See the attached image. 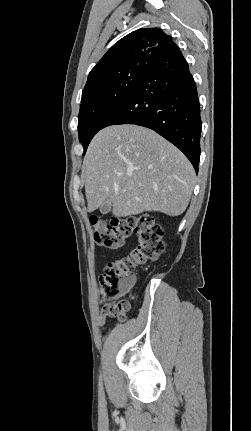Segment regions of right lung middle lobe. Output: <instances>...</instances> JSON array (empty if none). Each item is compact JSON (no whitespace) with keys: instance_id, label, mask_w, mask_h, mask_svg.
I'll return each instance as SVG.
<instances>
[{"instance_id":"1","label":"right lung middle lobe","mask_w":251,"mask_h":431,"mask_svg":"<svg viewBox=\"0 0 251 431\" xmlns=\"http://www.w3.org/2000/svg\"><path fill=\"white\" fill-rule=\"evenodd\" d=\"M146 68V61L133 62L84 88L78 117L79 140L84 154L93 136L134 90Z\"/></svg>"}]
</instances>
